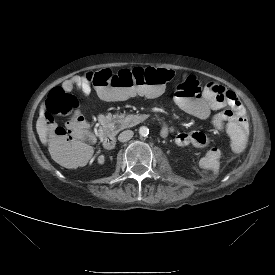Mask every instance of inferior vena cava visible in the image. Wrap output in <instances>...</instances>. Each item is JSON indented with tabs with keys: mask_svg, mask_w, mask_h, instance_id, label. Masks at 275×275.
Here are the masks:
<instances>
[{
	"mask_svg": "<svg viewBox=\"0 0 275 275\" xmlns=\"http://www.w3.org/2000/svg\"><path fill=\"white\" fill-rule=\"evenodd\" d=\"M133 135H134V133L132 130H125L119 134L118 140L120 142H126V141L130 140L133 137Z\"/></svg>",
	"mask_w": 275,
	"mask_h": 275,
	"instance_id": "obj_1",
	"label": "inferior vena cava"
}]
</instances>
